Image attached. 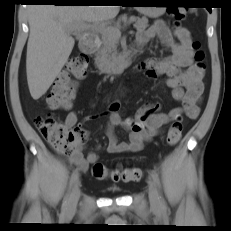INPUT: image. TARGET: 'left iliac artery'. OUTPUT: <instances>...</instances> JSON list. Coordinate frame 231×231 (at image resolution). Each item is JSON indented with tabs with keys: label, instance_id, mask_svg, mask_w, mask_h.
I'll use <instances>...</instances> for the list:
<instances>
[{
	"label": "left iliac artery",
	"instance_id": "left-iliac-artery-1",
	"mask_svg": "<svg viewBox=\"0 0 231 231\" xmlns=\"http://www.w3.org/2000/svg\"><path fill=\"white\" fill-rule=\"evenodd\" d=\"M150 175L153 178V180L156 183V185L158 186V189H159V199L161 201V204H162V206H165V200H164V198H163V196L161 194V191H160V182H159L158 174L155 171H151Z\"/></svg>",
	"mask_w": 231,
	"mask_h": 231
}]
</instances>
